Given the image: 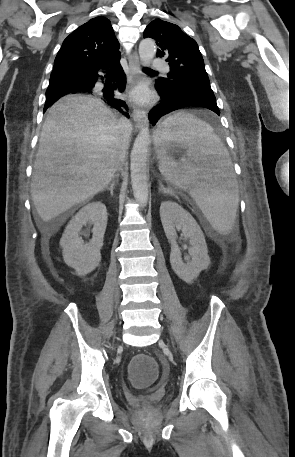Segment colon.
Instances as JSON below:
<instances>
[{"mask_svg":"<svg viewBox=\"0 0 295 457\" xmlns=\"http://www.w3.org/2000/svg\"><path fill=\"white\" fill-rule=\"evenodd\" d=\"M137 357H131L128 377H133L132 390H149V383H156L157 363L150 357L149 351H138Z\"/></svg>","mask_w":295,"mask_h":457,"instance_id":"1","label":"colon"}]
</instances>
